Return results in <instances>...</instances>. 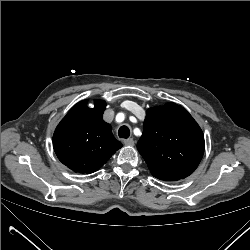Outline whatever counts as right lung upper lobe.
I'll use <instances>...</instances> for the list:
<instances>
[{
  "label": "right lung upper lobe",
  "instance_id": "1",
  "mask_svg": "<svg viewBox=\"0 0 250 250\" xmlns=\"http://www.w3.org/2000/svg\"><path fill=\"white\" fill-rule=\"evenodd\" d=\"M106 103L96 100L89 108L77 103L62 119L53 135L58 159L74 172L90 174L99 170L122 147L103 120Z\"/></svg>",
  "mask_w": 250,
  "mask_h": 250
}]
</instances>
